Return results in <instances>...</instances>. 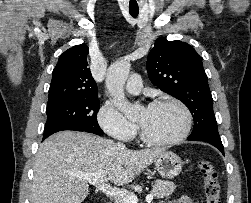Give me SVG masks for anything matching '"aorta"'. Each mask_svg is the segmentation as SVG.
<instances>
[{
    "label": "aorta",
    "mask_w": 251,
    "mask_h": 203,
    "mask_svg": "<svg viewBox=\"0 0 251 203\" xmlns=\"http://www.w3.org/2000/svg\"><path fill=\"white\" fill-rule=\"evenodd\" d=\"M130 72V63L118 61L113 63L106 74V87L114 106L121 111L125 117L131 119L139 112L137 105L131 104L124 95V86Z\"/></svg>",
    "instance_id": "obj_1"
}]
</instances>
